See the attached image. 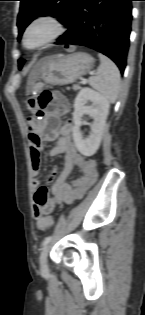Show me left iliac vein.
I'll list each match as a JSON object with an SVG mask.
<instances>
[{
  "label": "left iliac vein",
  "mask_w": 145,
  "mask_h": 315,
  "mask_svg": "<svg viewBox=\"0 0 145 315\" xmlns=\"http://www.w3.org/2000/svg\"><path fill=\"white\" fill-rule=\"evenodd\" d=\"M48 250L49 246H46L39 257V264H40V269L42 272H47L48 271V264H47V255H48Z\"/></svg>",
  "instance_id": "1"
}]
</instances>
